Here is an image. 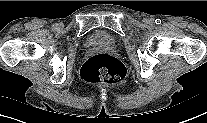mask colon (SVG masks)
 I'll return each instance as SVG.
<instances>
[{
	"mask_svg": "<svg viewBox=\"0 0 207 123\" xmlns=\"http://www.w3.org/2000/svg\"><path fill=\"white\" fill-rule=\"evenodd\" d=\"M126 69L115 57L96 54L88 58L81 68L84 80L98 84H115L124 79Z\"/></svg>",
	"mask_w": 207,
	"mask_h": 123,
	"instance_id": "obj_1",
	"label": "colon"
}]
</instances>
